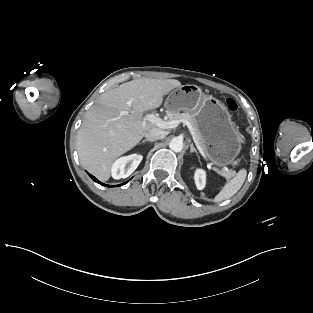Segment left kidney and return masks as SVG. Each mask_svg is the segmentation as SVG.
<instances>
[{
	"label": "left kidney",
	"mask_w": 313,
	"mask_h": 313,
	"mask_svg": "<svg viewBox=\"0 0 313 313\" xmlns=\"http://www.w3.org/2000/svg\"><path fill=\"white\" fill-rule=\"evenodd\" d=\"M194 181L197 189L202 190L206 185V174L202 169H197L194 175Z\"/></svg>",
	"instance_id": "obj_1"
}]
</instances>
